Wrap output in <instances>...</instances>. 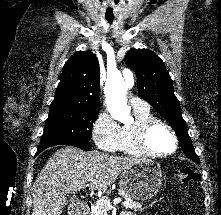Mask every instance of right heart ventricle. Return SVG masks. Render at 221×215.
Returning <instances> with one entry per match:
<instances>
[{
	"label": "right heart ventricle",
	"mask_w": 221,
	"mask_h": 215,
	"mask_svg": "<svg viewBox=\"0 0 221 215\" xmlns=\"http://www.w3.org/2000/svg\"><path fill=\"white\" fill-rule=\"evenodd\" d=\"M135 121L130 125L121 127L120 140L118 150L128 155H143V153L136 147L134 142L135 132L137 127L155 116L151 113L150 109L134 110Z\"/></svg>",
	"instance_id": "right-heart-ventricle-1"
}]
</instances>
